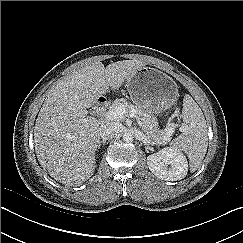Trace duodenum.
Instances as JSON below:
<instances>
[{"mask_svg":"<svg viewBox=\"0 0 243 243\" xmlns=\"http://www.w3.org/2000/svg\"><path fill=\"white\" fill-rule=\"evenodd\" d=\"M108 105V100L104 96H99L95 102V109L98 112H103Z\"/></svg>","mask_w":243,"mask_h":243,"instance_id":"obj_1","label":"duodenum"}]
</instances>
